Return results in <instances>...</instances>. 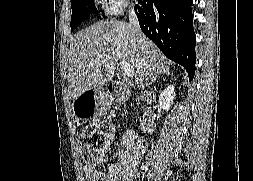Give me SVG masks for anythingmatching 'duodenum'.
<instances>
[{
  "label": "duodenum",
  "mask_w": 253,
  "mask_h": 181,
  "mask_svg": "<svg viewBox=\"0 0 253 181\" xmlns=\"http://www.w3.org/2000/svg\"><path fill=\"white\" fill-rule=\"evenodd\" d=\"M107 95L112 102H119L127 97V89L122 83L112 84L107 87ZM154 130L153 114L149 113L145 119L143 131L150 133Z\"/></svg>",
  "instance_id": "duodenum-1"
}]
</instances>
